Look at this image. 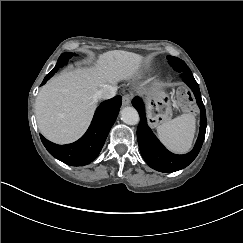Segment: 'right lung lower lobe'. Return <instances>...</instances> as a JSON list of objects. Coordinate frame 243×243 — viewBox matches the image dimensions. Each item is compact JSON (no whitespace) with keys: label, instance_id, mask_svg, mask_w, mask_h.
I'll return each mask as SVG.
<instances>
[{"label":"right lung lower lobe","instance_id":"1","mask_svg":"<svg viewBox=\"0 0 243 243\" xmlns=\"http://www.w3.org/2000/svg\"><path fill=\"white\" fill-rule=\"evenodd\" d=\"M121 103V96L102 102L96 109L89 129L78 141L67 145H57L40 135L43 145L52 156L67 165L89 164L99 155L117 118Z\"/></svg>","mask_w":243,"mask_h":243}]
</instances>
